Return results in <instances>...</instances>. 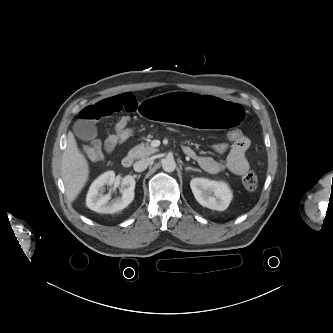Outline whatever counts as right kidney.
Masks as SVG:
<instances>
[{
  "mask_svg": "<svg viewBox=\"0 0 333 333\" xmlns=\"http://www.w3.org/2000/svg\"><path fill=\"white\" fill-rule=\"evenodd\" d=\"M115 181L113 171L100 175L91 185L87 197L86 205L89 209L98 213H115L126 208L134 199L135 179L131 175L122 178V197L111 200V193L103 194L104 185H112Z\"/></svg>",
  "mask_w": 333,
  "mask_h": 333,
  "instance_id": "obj_1",
  "label": "right kidney"
}]
</instances>
